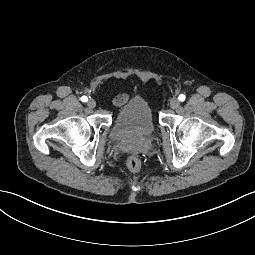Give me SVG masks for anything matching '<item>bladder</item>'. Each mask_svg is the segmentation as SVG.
Wrapping results in <instances>:
<instances>
[{
	"mask_svg": "<svg viewBox=\"0 0 255 255\" xmlns=\"http://www.w3.org/2000/svg\"><path fill=\"white\" fill-rule=\"evenodd\" d=\"M155 122L151 107L139 95L128 99L119 108L111 126L113 139L144 138L153 135Z\"/></svg>",
	"mask_w": 255,
	"mask_h": 255,
	"instance_id": "31cf9c89",
	"label": "bladder"
}]
</instances>
